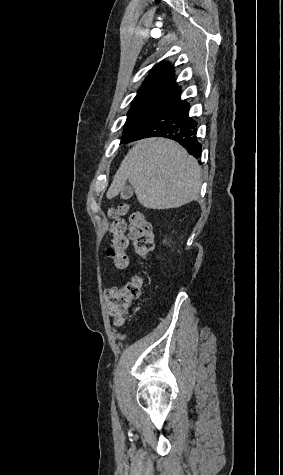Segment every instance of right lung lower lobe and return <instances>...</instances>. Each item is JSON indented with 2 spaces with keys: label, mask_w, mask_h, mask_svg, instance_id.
I'll return each mask as SVG.
<instances>
[{
  "label": "right lung lower lobe",
  "mask_w": 283,
  "mask_h": 475,
  "mask_svg": "<svg viewBox=\"0 0 283 475\" xmlns=\"http://www.w3.org/2000/svg\"><path fill=\"white\" fill-rule=\"evenodd\" d=\"M177 90L165 103L146 117L123 141L128 143L146 137L172 139L195 158L201 156L202 145L197 141V122L189 116L190 104L180 98Z\"/></svg>",
  "instance_id": "right-lung-lower-lobe-1"
}]
</instances>
